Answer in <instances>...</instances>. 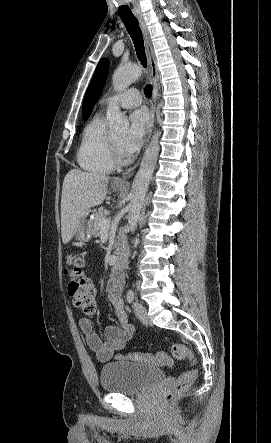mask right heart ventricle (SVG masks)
Here are the masks:
<instances>
[{"label": "right heart ventricle", "mask_w": 271, "mask_h": 443, "mask_svg": "<svg viewBox=\"0 0 271 443\" xmlns=\"http://www.w3.org/2000/svg\"><path fill=\"white\" fill-rule=\"evenodd\" d=\"M112 135L101 113H96L85 125L77 151V162L87 172L111 173L116 167Z\"/></svg>", "instance_id": "obj_1"}]
</instances>
